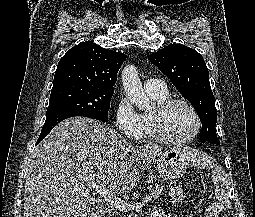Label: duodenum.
I'll return each instance as SVG.
<instances>
[{
    "label": "duodenum",
    "instance_id": "obj_1",
    "mask_svg": "<svg viewBox=\"0 0 255 217\" xmlns=\"http://www.w3.org/2000/svg\"><path fill=\"white\" fill-rule=\"evenodd\" d=\"M91 217H105L104 212L102 210L96 211L91 214Z\"/></svg>",
    "mask_w": 255,
    "mask_h": 217
}]
</instances>
